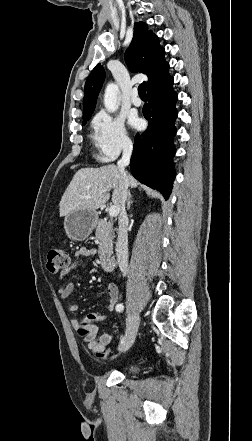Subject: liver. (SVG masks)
Returning <instances> with one entry per match:
<instances>
[{"label": "liver", "instance_id": "1", "mask_svg": "<svg viewBox=\"0 0 252 441\" xmlns=\"http://www.w3.org/2000/svg\"><path fill=\"white\" fill-rule=\"evenodd\" d=\"M127 177L129 185L136 188L138 181L131 175ZM122 182L123 176L115 165L79 169L61 198L60 216H66L75 210L95 211L109 200L108 192L111 189H113L112 202L120 210ZM87 196L89 198H86Z\"/></svg>", "mask_w": 252, "mask_h": 441}]
</instances>
